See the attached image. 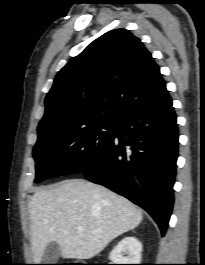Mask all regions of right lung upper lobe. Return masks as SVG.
I'll return each mask as SVG.
<instances>
[{"label": "right lung upper lobe", "instance_id": "1", "mask_svg": "<svg viewBox=\"0 0 205 265\" xmlns=\"http://www.w3.org/2000/svg\"><path fill=\"white\" fill-rule=\"evenodd\" d=\"M166 90L159 66L126 29L94 40L56 75L38 131L56 132L91 122H117Z\"/></svg>", "mask_w": 205, "mask_h": 265}]
</instances>
